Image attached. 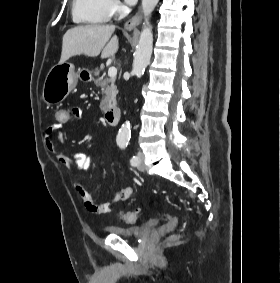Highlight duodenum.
Listing matches in <instances>:
<instances>
[{"label":"duodenum","mask_w":280,"mask_h":283,"mask_svg":"<svg viewBox=\"0 0 280 283\" xmlns=\"http://www.w3.org/2000/svg\"><path fill=\"white\" fill-rule=\"evenodd\" d=\"M121 110L119 107H113L108 110H106L104 117L106 122L111 125L115 126L118 124L120 120Z\"/></svg>","instance_id":"duodenum-1"}]
</instances>
